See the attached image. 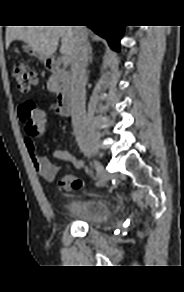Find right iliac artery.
<instances>
[{
    "label": "right iliac artery",
    "mask_w": 184,
    "mask_h": 292,
    "mask_svg": "<svg viewBox=\"0 0 184 292\" xmlns=\"http://www.w3.org/2000/svg\"><path fill=\"white\" fill-rule=\"evenodd\" d=\"M97 182H100V179H97ZM97 182L94 180L93 184L95 185Z\"/></svg>",
    "instance_id": "obj_1"
}]
</instances>
